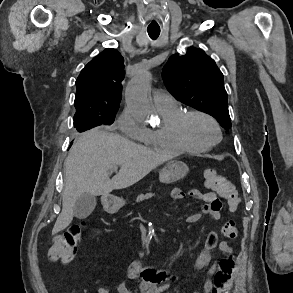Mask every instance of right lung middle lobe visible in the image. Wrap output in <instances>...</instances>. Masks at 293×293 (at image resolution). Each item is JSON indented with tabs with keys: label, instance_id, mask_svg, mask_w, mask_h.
I'll return each mask as SVG.
<instances>
[{
	"label": "right lung middle lobe",
	"instance_id": "1",
	"mask_svg": "<svg viewBox=\"0 0 293 293\" xmlns=\"http://www.w3.org/2000/svg\"><path fill=\"white\" fill-rule=\"evenodd\" d=\"M117 111L109 113L77 111L74 115V127L78 132L86 131L102 124H112Z\"/></svg>",
	"mask_w": 293,
	"mask_h": 293
}]
</instances>
